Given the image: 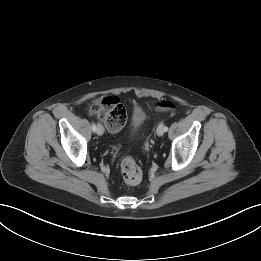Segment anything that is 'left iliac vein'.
Wrapping results in <instances>:
<instances>
[{
    "instance_id": "1",
    "label": "left iliac vein",
    "mask_w": 261,
    "mask_h": 261,
    "mask_svg": "<svg viewBox=\"0 0 261 261\" xmlns=\"http://www.w3.org/2000/svg\"><path fill=\"white\" fill-rule=\"evenodd\" d=\"M165 126L163 124H160L158 127H157V135L158 136H162L165 132L164 130Z\"/></svg>"
}]
</instances>
